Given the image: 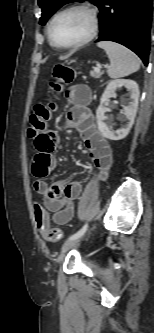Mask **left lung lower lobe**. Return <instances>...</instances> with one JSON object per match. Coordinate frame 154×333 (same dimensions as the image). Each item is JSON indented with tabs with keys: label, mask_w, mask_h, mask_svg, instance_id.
Masks as SVG:
<instances>
[{
	"label": "left lung lower lobe",
	"mask_w": 154,
	"mask_h": 333,
	"mask_svg": "<svg viewBox=\"0 0 154 333\" xmlns=\"http://www.w3.org/2000/svg\"><path fill=\"white\" fill-rule=\"evenodd\" d=\"M153 0H102L97 41L120 43L148 65Z\"/></svg>",
	"instance_id": "obj_1"
}]
</instances>
